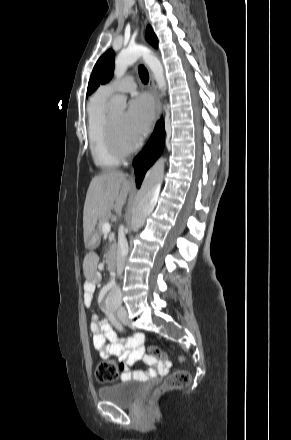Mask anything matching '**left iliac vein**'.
<instances>
[{
  "instance_id": "1",
  "label": "left iliac vein",
  "mask_w": 291,
  "mask_h": 440,
  "mask_svg": "<svg viewBox=\"0 0 291 440\" xmlns=\"http://www.w3.org/2000/svg\"><path fill=\"white\" fill-rule=\"evenodd\" d=\"M117 316L120 319V321L124 324V325H128L129 324V319H128V314L126 309L124 308H120L117 311Z\"/></svg>"
}]
</instances>
